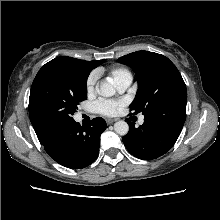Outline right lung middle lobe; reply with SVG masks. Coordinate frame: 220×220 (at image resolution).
Wrapping results in <instances>:
<instances>
[{
	"label": "right lung middle lobe",
	"instance_id": "obj_1",
	"mask_svg": "<svg viewBox=\"0 0 220 220\" xmlns=\"http://www.w3.org/2000/svg\"><path fill=\"white\" fill-rule=\"evenodd\" d=\"M89 73L59 64H45L39 70L29 97V117L39 140L74 120L77 105L87 99Z\"/></svg>",
	"mask_w": 220,
	"mask_h": 220
}]
</instances>
